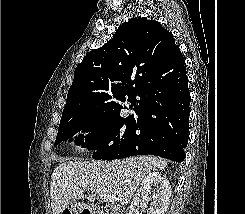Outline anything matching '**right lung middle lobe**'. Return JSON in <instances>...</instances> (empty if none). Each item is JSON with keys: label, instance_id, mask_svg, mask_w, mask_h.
<instances>
[{"label": "right lung middle lobe", "instance_id": "dd1d6c3e", "mask_svg": "<svg viewBox=\"0 0 245 214\" xmlns=\"http://www.w3.org/2000/svg\"><path fill=\"white\" fill-rule=\"evenodd\" d=\"M134 115L123 119L118 113L99 115L96 113H76L62 115L55 145L67 140L79 131L90 132L85 137L79 135L75 144L96 150L93 158L97 160H111L112 152L127 142V130ZM73 139L71 138L70 141Z\"/></svg>", "mask_w": 245, "mask_h": 214}]
</instances>
